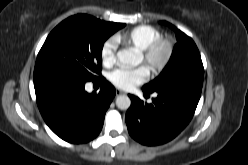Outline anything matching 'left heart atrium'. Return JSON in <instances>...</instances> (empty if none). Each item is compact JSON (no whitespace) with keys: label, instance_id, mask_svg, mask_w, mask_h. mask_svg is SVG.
Segmentation results:
<instances>
[{"label":"left heart atrium","instance_id":"left-heart-atrium-1","mask_svg":"<svg viewBox=\"0 0 248 165\" xmlns=\"http://www.w3.org/2000/svg\"><path fill=\"white\" fill-rule=\"evenodd\" d=\"M149 76L145 66L135 68H117L109 76L110 82L117 88L130 90L142 84Z\"/></svg>","mask_w":248,"mask_h":165}]
</instances>
